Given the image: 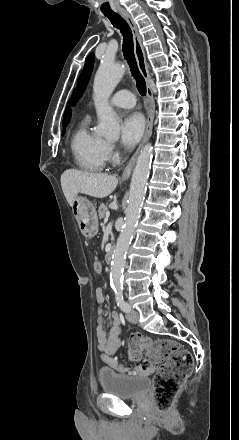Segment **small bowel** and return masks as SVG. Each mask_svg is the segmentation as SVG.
<instances>
[{
  "label": "small bowel",
  "mask_w": 239,
  "mask_h": 440,
  "mask_svg": "<svg viewBox=\"0 0 239 440\" xmlns=\"http://www.w3.org/2000/svg\"><path fill=\"white\" fill-rule=\"evenodd\" d=\"M97 312H98V325L96 329L98 348L101 352V359L104 363L112 367V356L118 352L121 347V331H120V321L116 313L111 314V328L109 333L105 331L103 327L102 318V304L104 302L103 290L102 288H97L95 292ZM113 368V367H112Z\"/></svg>",
  "instance_id": "small-bowel-1"
}]
</instances>
